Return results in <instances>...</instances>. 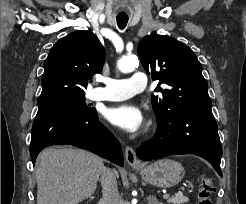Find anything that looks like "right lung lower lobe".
Returning a JSON list of instances; mask_svg holds the SVG:
<instances>
[{
  "label": "right lung lower lobe",
  "mask_w": 246,
  "mask_h": 204,
  "mask_svg": "<svg viewBox=\"0 0 246 204\" xmlns=\"http://www.w3.org/2000/svg\"><path fill=\"white\" fill-rule=\"evenodd\" d=\"M60 144L74 145L124 165L119 142L99 122L96 110L85 113L69 105H39L30 144L33 164L43 148Z\"/></svg>",
  "instance_id": "right-lung-lower-lobe-1"
}]
</instances>
